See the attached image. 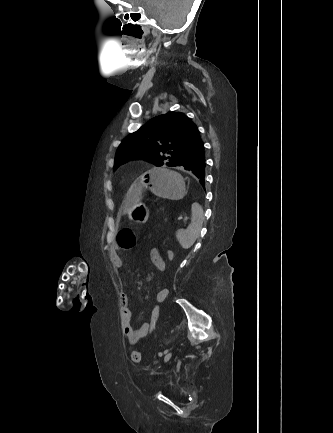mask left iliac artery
Here are the masks:
<instances>
[{
    "instance_id": "44dca946",
    "label": "left iliac artery",
    "mask_w": 333,
    "mask_h": 433,
    "mask_svg": "<svg viewBox=\"0 0 333 433\" xmlns=\"http://www.w3.org/2000/svg\"><path fill=\"white\" fill-rule=\"evenodd\" d=\"M168 350H165L164 352H160L159 355L162 356L163 354H166Z\"/></svg>"
}]
</instances>
